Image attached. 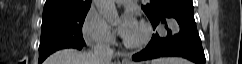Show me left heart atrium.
<instances>
[{
  "label": "left heart atrium",
  "mask_w": 242,
  "mask_h": 64,
  "mask_svg": "<svg viewBox=\"0 0 242 64\" xmlns=\"http://www.w3.org/2000/svg\"><path fill=\"white\" fill-rule=\"evenodd\" d=\"M138 27L134 14L128 11L122 16L117 31L121 37L128 39L137 31Z\"/></svg>",
  "instance_id": "1"
}]
</instances>
